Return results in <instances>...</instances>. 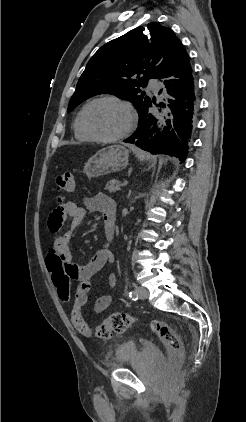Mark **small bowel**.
<instances>
[{"label": "small bowel", "mask_w": 246, "mask_h": 422, "mask_svg": "<svg viewBox=\"0 0 246 422\" xmlns=\"http://www.w3.org/2000/svg\"><path fill=\"white\" fill-rule=\"evenodd\" d=\"M86 208L91 212H99L102 214L104 230L106 235L107 226H114L115 203L105 194H97L85 201ZM86 210L73 202L59 204L50 214L48 220V228L52 233L60 230L64 220L68 217L71 220V229L63 235L55 238L53 247L49 252L53 251L60 255L65 264L71 271V278L76 280L90 279L98 271H100L107 263H111L114 259L113 253L108 244L99 249L89 260L82 264H75L72 261L71 253V237L75 228H77L84 219ZM107 238V237H106ZM108 240V239H107ZM117 278L115 274H109L108 285L115 287ZM112 303L111 295H102L97 298L94 304V311L101 313L106 310Z\"/></svg>", "instance_id": "c3829d8e"}]
</instances>
